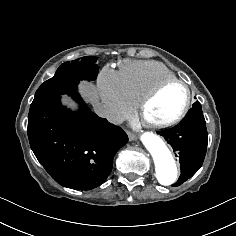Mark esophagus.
I'll return each instance as SVG.
<instances>
[{
	"label": "esophagus",
	"mask_w": 236,
	"mask_h": 236,
	"mask_svg": "<svg viewBox=\"0 0 236 236\" xmlns=\"http://www.w3.org/2000/svg\"><path fill=\"white\" fill-rule=\"evenodd\" d=\"M128 136H129V140L130 141H136L137 140L136 136L134 134H132V133H128Z\"/></svg>",
	"instance_id": "obj_1"
}]
</instances>
